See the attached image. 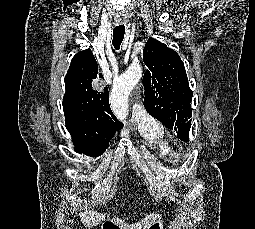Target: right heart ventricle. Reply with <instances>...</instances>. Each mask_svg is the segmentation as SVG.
Wrapping results in <instances>:
<instances>
[{
	"instance_id": "e07e8e85",
	"label": "right heart ventricle",
	"mask_w": 255,
	"mask_h": 229,
	"mask_svg": "<svg viewBox=\"0 0 255 229\" xmlns=\"http://www.w3.org/2000/svg\"><path fill=\"white\" fill-rule=\"evenodd\" d=\"M136 126L144 144L159 158L171 163L180 161V155L172 149L168 141L164 138L163 129L158 122L154 121L153 127L140 125L138 123H136Z\"/></svg>"
}]
</instances>
